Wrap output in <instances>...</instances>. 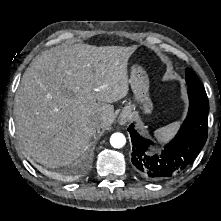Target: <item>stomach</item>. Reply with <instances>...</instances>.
Listing matches in <instances>:
<instances>
[{
	"label": "stomach",
	"instance_id": "obj_1",
	"mask_svg": "<svg viewBox=\"0 0 221 221\" xmlns=\"http://www.w3.org/2000/svg\"><path fill=\"white\" fill-rule=\"evenodd\" d=\"M129 83L131 85L135 101L140 105V108L144 110L146 114L151 113L153 104L149 98V78L141 66L136 65L132 67ZM135 109L136 105L130 102L123 108L120 119H123L126 115L131 114L135 111Z\"/></svg>",
	"mask_w": 221,
	"mask_h": 221
}]
</instances>
